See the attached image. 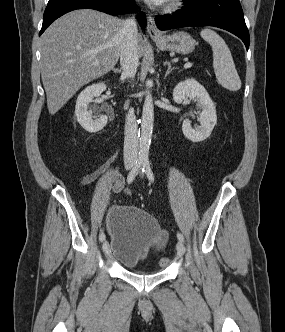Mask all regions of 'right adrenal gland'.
<instances>
[{"mask_svg":"<svg viewBox=\"0 0 285 332\" xmlns=\"http://www.w3.org/2000/svg\"><path fill=\"white\" fill-rule=\"evenodd\" d=\"M114 72L120 74V73H121V70H119V69H114Z\"/></svg>","mask_w":285,"mask_h":332,"instance_id":"obj_1","label":"right adrenal gland"}]
</instances>
